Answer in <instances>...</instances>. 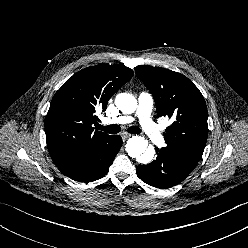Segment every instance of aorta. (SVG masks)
Wrapping results in <instances>:
<instances>
[{
	"instance_id": "aorta-1",
	"label": "aorta",
	"mask_w": 248,
	"mask_h": 248,
	"mask_svg": "<svg viewBox=\"0 0 248 248\" xmlns=\"http://www.w3.org/2000/svg\"><path fill=\"white\" fill-rule=\"evenodd\" d=\"M117 107L124 114H131L137 108V100L129 93H120L115 99ZM126 151L129 156L137 158L141 164H148L152 161L155 150L148 149V141L142 136H132L126 144Z\"/></svg>"
}]
</instances>
